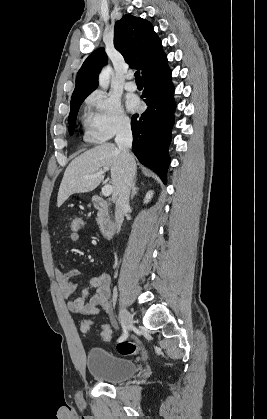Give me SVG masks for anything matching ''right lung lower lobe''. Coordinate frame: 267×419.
<instances>
[{"label": "right lung lower lobe", "instance_id": "1", "mask_svg": "<svg viewBox=\"0 0 267 419\" xmlns=\"http://www.w3.org/2000/svg\"><path fill=\"white\" fill-rule=\"evenodd\" d=\"M168 61L146 72L142 98L147 110L131 119L133 153L145 166L157 173L166 184L167 168L170 163L168 148L174 124V88Z\"/></svg>", "mask_w": 267, "mask_h": 419}]
</instances>
